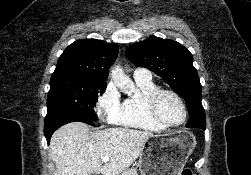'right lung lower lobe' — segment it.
Masks as SVG:
<instances>
[{
    "label": "right lung lower lobe",
    "mask_w": 251,
    "mask_h": 175,
    "mask_svg": "<svg viewBox=\"0 0 251 175\" xmlns=\"http://www.w3.org/2000/svg\"><path fill=\"white\" fill-rule=\"evenodd\" d=\"M84 122L89 125H94V121H89L85 117L80 115H63V116H54L50 119L45 118V125H44V134L49 144L50 138L55 130H57L60 126L69 123V122Z\"/></svg>",
    "instance_id": "1"
}]
</instances>
